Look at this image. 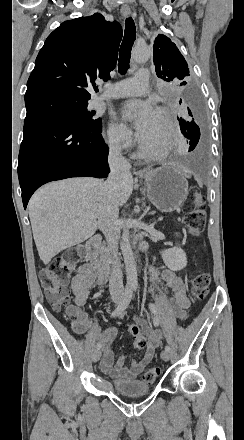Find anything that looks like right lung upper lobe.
<instances>
[{"label":"right lung upper lobe","mask_w":244,"mask_h":440,"mask_svg":"<svg viewBox=\"0 0 244 440\" xmlns=\"http://www.w3.org/2000/svg\"><path fill=\"white\" fill-rule=\"evenodd\" d=\"M122 28L100 13L63 22L46 39L27 82L25 98L56 94L90 98L96 78L109 79Z\"/></svg>","instance_id":"obj_1"}]
</instances>
